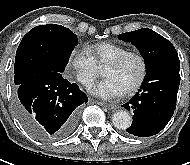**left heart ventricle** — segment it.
<instances>
[{"instance_id":"left-heart-ventricle-1","label":"left heart ventricle","mask_w":190,"mask_h":165,"mask_svg":"<svg viewBox=\"0 0 190 165\" xmlns=\"http://www.w3.org/2000/svg\"><path fill=\"white\" fill-rule=\"evenodd\" d=\"M141 66L136 58H129L119 67L106 66L103 71L105 78L114 79L125 91L138 79Z\"/></svg>"}]
</instances>
